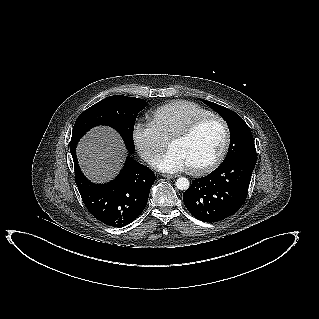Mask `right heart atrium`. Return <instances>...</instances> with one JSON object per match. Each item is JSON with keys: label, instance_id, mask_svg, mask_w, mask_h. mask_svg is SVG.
Returning <instances> with one entry per match:
<instances>
[{"label": "right heart atrium", "instance_id": "d8ad5b80", "mask_svg": "<svg viewBox=\"0 0 319 319\" xmlns=\"http://www.w3.org/2000/svg\"><path fill=\"white\" fill-rule=\"evenodd\" d=\"M131 136L138 153L149 163L167 146V140L151 122H136L133 125Z\"/></svg>", "mask_w": 319, "mask_h": 319}]
</instances>
